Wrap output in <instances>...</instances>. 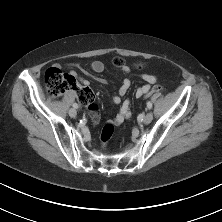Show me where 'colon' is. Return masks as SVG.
Instances as JSON below:
<instances>
[{
	"label": "colon",
	"mask_w": 222,
	"mask_h": 222,
	"mask_svg": "<svg viewBox=\"0 0 222 222\" xmlns=\"http://www.w3.org/2000/svg\"><path fill=\"white\" fill-rule=\"evenodd\" d=\"M112 63L117 67L125 66V60L116 57L113 59ZM138 69L143 68L140 63L135 64ZM45 88L47 93L52 97H57L62 95L68 90L76 89L78 93L79 100L84 103L90 112H95L97 109L94 103L93 94L87 88L77 87L75 78L67 73H63L57 67H50L46 70L44 75ZM163 87L160 85H154L153 88L145 95L146 99H149L154 93L162 92ZM114 133V126L111 123L104 125L101 131L100 139L103 144H106L112 137Z\"/></svg>",
	"instance_id": "5ec220e1"
}]
</instances>
